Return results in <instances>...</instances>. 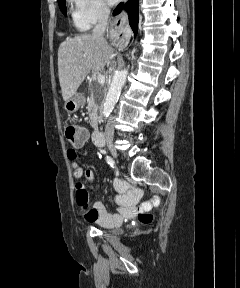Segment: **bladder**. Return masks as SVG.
<instances>
[{
  "instance_id": "obj_1",
  "label": "bladder",
  "mask_w": 240,
  "mask_h": 288,
  "mask_svg": "<svg viewBox=\"0 0 240 288\" xmlns=\"http://www.w3.org/2000/svg\"><path fill=\"white\" fill-rule=\"evenodd\" d=\"M110 232L113 233V234H117L118 230H110Z\"/></svg>"
}]
</instances>
